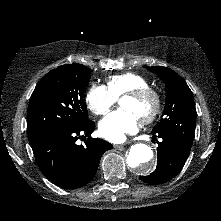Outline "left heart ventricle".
Instances as JSON below:
<instances>
[{
	"mask_svg": "<svg viewBox=\"0 0 221 221\" xmlns=\"http://www.w3.org/2000/svg\"><path fill=\"white\" fill-rule=\"evenodd\" d=\"M120 105L123 109L133 112L140 119L152 110L153 102L150 99L138 101L130 97H124Z\"/></svg>",
	"mask_w": 221,
	"mask_h": 221,
	"instance_id": "1",
	"label": "left heart ventricle"
}]
</instances>
